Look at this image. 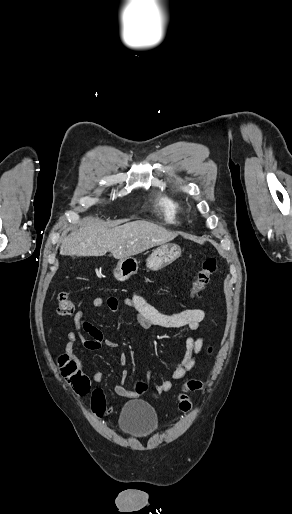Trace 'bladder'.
I'll return each mask as SVG.
<instances>
[{"mask_svg":"<svg viewBox=\"0 0 292 514\" xmlns=\"http://www.w3.org/2000/svg\"><path fill=\"white\" fill-rule=\"evenodd\" d=\"M119 428L127 436L135 438L147 436L158 428L157 413L144 401H129L121 411Z\"/></svg>","mask_w":292,"mask_h":514,"instance_id":"obj_1","label":"bladder"}]
</instances>
